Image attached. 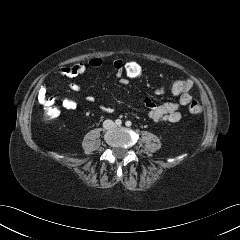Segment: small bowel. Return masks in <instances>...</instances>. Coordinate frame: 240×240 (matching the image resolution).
Here are the masks:
<instances>
[{
	"label": "small bowel",
	"mask_w": 240,
	"mask_h": 240,
	"mask_svg": "<svg viewBox=\"0 0 240 240\" xmlns=\"http://www.w3.org/2000/svg\"><path fill=\"white\" fill-rule=\"evenodd\" d=\"M104 62L100 57H92L88 61V65L91 68L99 69L103 66ZM111 66L115 71L117 78L120 83L124 86L130 85V80L126 78L122 73L123 61L121 59H114L111 62ZM87 72V66L83 62H76L70 66H64L59 68L58 73L67 77H77L84 75ZM68 87L73 92H80L81 85L76 82H71ZM165 87L160 86L155 89L156 94H162L165 92ZM85 100L88 102H94L95 98L93 95L85 96ZM38 101L42 106L49 107L56 102L61 103V105L68 110H74L77 108V102L73 99L66 97H48L47 90L45 87H41L38 92ZM192 101V96L185 93L179 96L178 101L166 102L161 105H157L150 98L144 99V106L148 109V115L150 119L154 122H169L176 123L182 119L181 108L188 105ZM102 111L106 113H111L113 108L109 106H102Z\"/></svg>",
	"instance_id": "obj_1"
}]
</instances>
